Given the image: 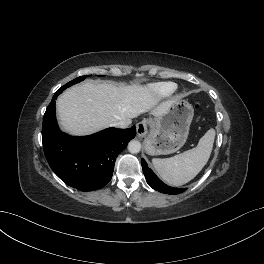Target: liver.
<instances>
[{
	"label": "liver",
	"instance_id": "6515ba94",
	"mask_svg": "<svg viewBox=\"0 0 264 264\" xmlns=\"http://www.w3.org/2000/svg\"><path fill=\"white\" fill-rule=\"evenodd\" d=\"M176 99L159 103V99L142 85L115 86L86 81L61 94L56 102L62 129L77 136L98 132L119 121L150 111L160 117Z\"/></svg>",
	"mask_w": 264,
	"mask_h": 264
}]
</instances>
